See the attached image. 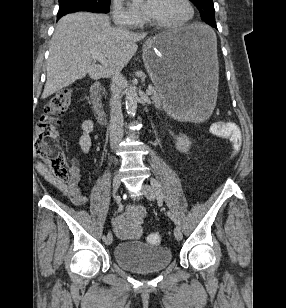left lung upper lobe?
I'll use <instances>...</instances> for the list:
<instances>
[{"instance_id": "1", "label": "left lung upper lobe", "mask_w": 286, "mask_h": 308, "mask_svg": "<svg viewBox=\"0 0 286 308\" xmlns=\"http://www.w3.org/2000/svg\"><path fill=\"white\" fill-rule=\"evenodd\" d=\"M200 12L205 22L215 20V10L212 0H190Z\"/></svg>"}]
</instances>
